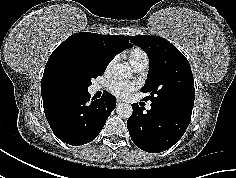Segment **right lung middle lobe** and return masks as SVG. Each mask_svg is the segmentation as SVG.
I'll use <instances>...</instances> for the list:
<instances>
[{
	"mask_svg": "<svg viewBox=\"0 0 236 178\" xmlns=\"http://www.w3.org/2000/svg\"><path fill=\"white\" fill-rule=\"evenodd\" d=\"M107 63L85 55L63 59L51 72L46 89L50 96L87 92L91 80L103 75Z\"/></svg>",
	"mask_w": 236,
	"mask_h": 178,
	"instance_id": "dd1d6c3e",
	"label": "right lung middle lobe"
}]
</instances>
